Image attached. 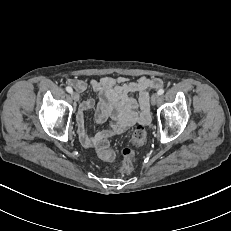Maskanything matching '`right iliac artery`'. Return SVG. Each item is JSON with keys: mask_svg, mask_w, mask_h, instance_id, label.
<instances>
[{"mask_svg": "<svg viewBox=\"0 0 231 231\" xmlns=\"http://www.w3.org/2000/svg\"><path fill=\"white\" fill-rule=\"evenodd\" d=\"M66 91H67L68 93H72V92H73V89H72L70 86H67V87H66Z\"/></svg>", "mask_w": 231, "mask_h": 231, "instance_id": "obj_1", "label": "right iliac artery"}]
</instances>
